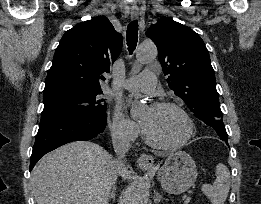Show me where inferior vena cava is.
<instances>
[{"mask_svg":"<svg viewBox=\"0 0 261 204\" xmlns=\"http://www.w3.org/2000/svg\"><path fill=\"white\" fill-rule=\"evenodd\" d=\"M112 143L117 159L114 160L112 169V181L115 183L120 168L124 165L125 153L130 148V138L125 129H113L111 131Z\"/></svg>","mask_w":261,"mask_h":204,"instance_id":"1","label":"inferior vena cava"}]
</instances>
